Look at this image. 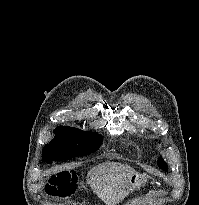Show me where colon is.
<instances>
[{
	"label": "colon",
	"instance_id": "5ec220e1",
	"mask_svg": "<svg viewBox=\"0 0 199 205\" xmlns=\"http://www.w3.org/2000/svg\"><path fill=\"white\" fill-rule=\"evenodd\" d=\"M74 183V174L70 171H63L51 175L45 186L50 196L66 195L71 192Z\"/></svg>",
	"mask_w": 199,
	"mask_h": 205
}]
</instances>
